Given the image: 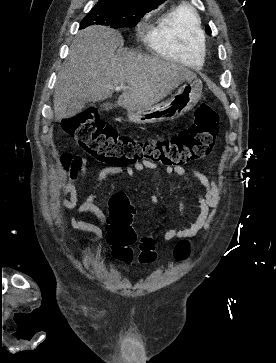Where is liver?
<instances>
[{
    "instance_id": "6515ba94",
    "label": "liver",
    "mask_w": 276,
    "mask_h": 363,
    "mask_svg": "<svg viewBox=\"0 0 276 363\" xmlns=\"http://www.w3.org/2000/svg\"><path fill=\"white\" fill-rule=\"evenodd\" d=\"M121 35L105 26H90L78 32L57 75L54 89L55 121L69 118L72 99L99 102L111 98L118 84L127 90L117 104L127 110L148 108L163 100L180 84L196 78L183 65L144 55L119 51Z\"/></svg>"
}]
</instances>
